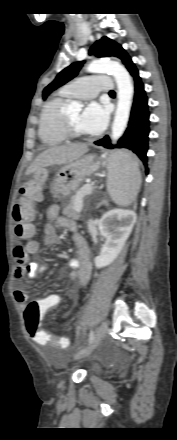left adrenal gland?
<instances>
[{
  "label": "left adrenal gland",
  "instance_id": "left-adrenal-gland-1",
  "mask_svg": "<svg viewBox=\"0 0 177 440\" xmlns=\"http://www.w3.org/2000/svg\"><path fill=\"white\" fill-rule=\"evenodd\" d=\"M108 203V200H103L101 203H100V205H103V204H107ZM99 205V206H100Z\"/></svg>",
  "mask_w": 177,
  "mask_h": 440
}]
</instances>
